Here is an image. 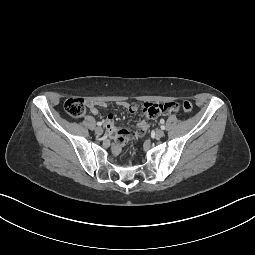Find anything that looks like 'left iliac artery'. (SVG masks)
Instances as JSON below:
<instances>
[{
	"mask_svg": "<svg viewBox=\"0 0 255 255\" xmlns=\"http://www.w3.org/2000/svg\"><path fill=\"white\" fill-rule=\"evenodd\" d=\"M161 129H163V130H164V129H165V126H164V125H162V126H161Z\"/></svg>",
	"mask_w": 255,
	"mask_h": 255,
	"instance_id": "1",
	"label": "left iliac artery"
}]
</instances>
